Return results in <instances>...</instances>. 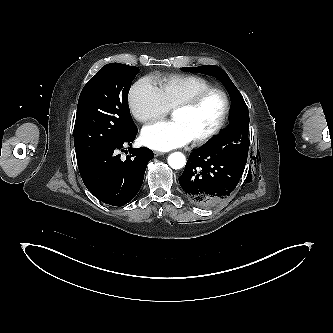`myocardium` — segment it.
Here are the masks:
<instances>
[{
    "label": "myocardium",
    "instance_id": "f54148a6",
    "mask_svg": "<svg viewBox=\"0 0 333 333\" xmlns=\"http://www.w3.org/2000/svg\"><path fill=\"white\" fill-rule=\"evenodd\" d=\"M215 93L219 94L223 98V101H224L223 113L221 115L220 120L218 121V123L212 130H210L208 133L204 134L203 136L192 140V143L195 146H201V145L208 143L210 140H212L214 137H216L225 127V125L228 121V117L230 114V108H231L230 98H229L228 94L226 93V91H224L221 88L210 87V88H207V89H204V90L198 92L191 98L179 103L178 105H176L173 108V112L180 111V110H192V109L196 108L197 106H199L208 96H210L211 94H215Z\"/></svg>",
    "mask_w": 333,
    "mask_h": 333
}]
</instances>
